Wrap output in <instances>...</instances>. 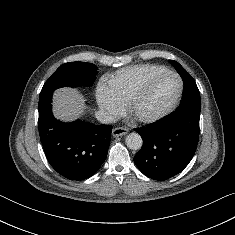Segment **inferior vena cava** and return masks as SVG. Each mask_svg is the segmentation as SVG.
<instances>
[{"label":"inferior vena cava","instance_id":"obj_1","mask_svg":"<svg viewBox=\"0 0 235 235\" xmlns=\"http://www.w3.org/2000/svg\"><path fill=\"white\" fill-rule=\"evenodd\" d=\"M96 118L103 124L113 123L114 117L107 111L100 110L96 113Z\"/></svg>","mask_w":235,"mask_h":235}]
</instances>
